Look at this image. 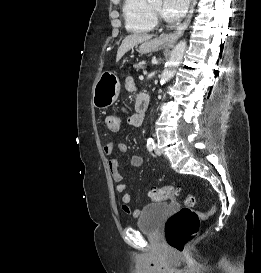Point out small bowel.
<instances>
[{
  "label": "small bowel",
  "mask_w": 261,
  "mask_h": 273,
  "mask_svg": "<svg viewBox=\"0 0 261 273\" xmlns=\"http://www.w3.org/2000/svg\"><path fill=\"white\" fill-rule=\"evenodd\" d=\"M128 87L132 88V82L130 80L128 81ZM128 121H129V124L133 125V116H131ZM115 148H117L118 151L121 153H124L127 151V145L123 142H119V143L109 142L104 146L103 151L106 156L111 157L114 153ZM142 164H143V158L141 156L133 155L130 158V165L132 167H140ZM108 167H109V171L113 181L117 183L116 191L122 194V197H121L122 209L126 213L130 214L131 216L137 217L140 214V210L132 209L129 206V203L131 201V195L130 193L127 192L128 185L122 182L124 177L122 172L119 169L118 159L111 157L108 161Z\"/></svg>",
  "instance_id": "obj_1"
}]
</instances>
